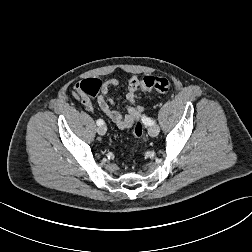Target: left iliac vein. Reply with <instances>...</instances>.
I'll list each match as a JSON object with an SVG mask.
<instances>
[{
    "label": "left iliac vein",
    "mask_w": 252,
    "mask_h": 252,
    "mask_svg": "<svg viewBox=\"0 0 252 252\" xmlns=\"http://www.w3.org/2000/svg\"><path fill=\"white\" fill-rule=\"evenodd\" d=\"M160 132V128L158 125H152L149 129H148V133L151 137H155L159 134Z\"/></svg>",
    "instance_id": "obj_1"
}]
</instances>
